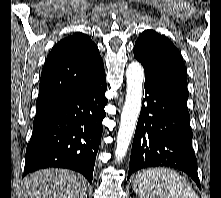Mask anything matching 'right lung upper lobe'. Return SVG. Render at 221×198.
<instances>
[{
  "label": "right lung upper lobe",
  "instance_id": "1",
  "mask_svg": "<svg viewBox=\"0 0 221 198\" xmlns=\"http://www.w3.org/2000/svg\"><path fill=\"white\" fill-rule=\"evenodd\" d=\"M105 75L97 46L77 32L58 42L44 64L36 112L86 88Z\"/></svg>",
  "mask_w": 221,
  "mask_h": 198
}]
</instances>
